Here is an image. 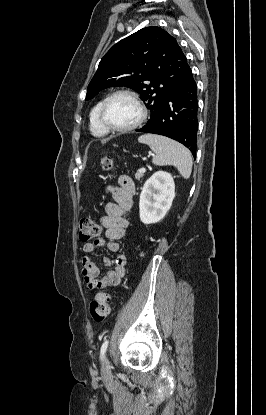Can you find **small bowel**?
<instances>
[{
	"mask_svg": "<svg viewBox=\"0 0 266 415\" xmlns=\"http://www.w3.org/2000/svg\"><path fill=\"white\" fill-rule=\"evenodd\" d=\"M106 190L112 195L114 200L106 204V214L101 219L102 225L105 228L106 238L101 237L92 242L85 243L83 251L86 254H90L102 247H106L112 252H117L119 250L118 241L125 236L129 227V221L125 218V214L133 207V198L136 191L133 180L128 176H121L118 186L109 185L106 187ZM103 264L108 270L104 276L100 277L98 266L88 256L83 257L82 274L90 290L118 286L126 272L127 256L119 254L116 257L113 268H111V260L108 257L103 258Z\"/></svg>",
	"mask_w": 266,
	"mask_h": 415,
	"instance_id": "small-bowel-1",
	"label": "small bowel"
}]
</instances>
